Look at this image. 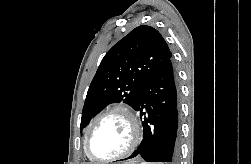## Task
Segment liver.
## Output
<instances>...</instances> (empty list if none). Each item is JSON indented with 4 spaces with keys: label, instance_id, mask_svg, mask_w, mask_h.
Segmentation results:
<instances>
[{
    "label": "liver",
    "instance_id": "liver-1",
    "mask_svg": "<svg viewBox=\"0 0 251 164\" xmlns=\"http://www.w3.org/2000/svg\"><path fill=\"white\" fill-rule=\"evenodd\" d=\"M132 163H135V161L125 162V164H132Z\"/></svg>",
    "mask_w": 251,
    "mask_h": 164
}]
</instances>
